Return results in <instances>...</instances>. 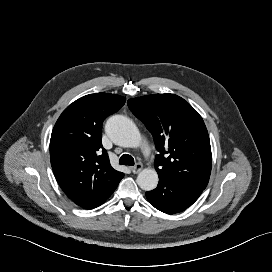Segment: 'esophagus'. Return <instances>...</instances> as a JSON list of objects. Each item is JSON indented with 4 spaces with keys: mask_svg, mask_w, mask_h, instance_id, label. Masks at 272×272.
Here are the masks:
<instances>
[{
    "mask_svg": "<svg viewBox=\"0 0 272 272\" xmlns=\"http://www.w3.org/2000/svg\"><path fill=\"white\" fill-rule=\"evenodd\" d=\"M142 168L143 165L141 163H137L136 165L131 167V171L136 174L139 173L142 170Z\"/></svg>",
    "mask_w": 272,
    "mask_h": 272,
    "instance_id": "1",
    "label": "esophagus"
}]
</instances>
